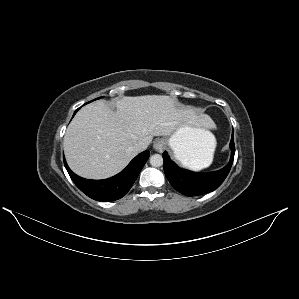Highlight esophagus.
<instances>
[{
  "label": "esophagus",
  "instance_id": "esophagus-1",
  "mask_svg": "<svg viewBox=\"0 0 299 299\" xmlns=\"http://www.w3.org/2000/svg\"><path fill=\"white\" fill-rule=\"evenodd\" d=\"M164 147H165V143H164V141H162V140H156L155 142H154V144H153V148L156 150V151H158V152H162V150L164 149Z\"/></svg>",
  "mask_w": 299,
  "mask_h": 299
}]
</instances>
